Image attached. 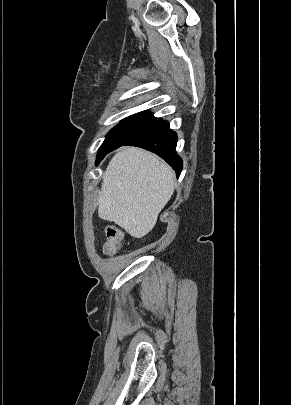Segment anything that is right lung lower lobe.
Wrapping results in <instances>:
<instances>
[{
  "label": "right lung lower lobe",
  "instance_id": "obj_1",
  "mask_svg": "<svg viewBox=\"0 0 291 405\" xmlns=\"http://www.w3.org/2000/svg\"><path fill=\"white\" fill-rule=\"evenodd\" d=\"M177 134L171 131L166 120H161L153 127L134 137L124 146H137L156 153L175 170L179 177L183 161L176 154Z\"/></svg>",
  "mask_w": 291,
  "mask_h": 405
}]
</instances>
